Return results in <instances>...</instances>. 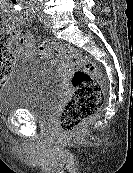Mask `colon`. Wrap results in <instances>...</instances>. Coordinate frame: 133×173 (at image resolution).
Wrapping results in <instances>:
<instances>
[{
    "label": "colon",
    "instance_id": "5ec220e1",
    "mask_svg": "<svg viewBox=\"0 0 133 173\" xmlns=\"http://www.w3.org/2000/svg\"><path fill=\"white\" fill-rule=\"evenodd\" d=\"M3 23L8 38L18 32V26L13 17H6ZM39 49L41 57L48 58L59 54L68 59L75 68L71 77L73 93L59 117L62 131L71 133L92 118L103 103L100 71L90 57L68 45L47 40L40 44ZM12 64L13 56L10 50L5 44L0 43V83L7 78Z\"/></svg>",
    "mask_w": 133,
    "mask_h": 173
}]
</instances>
